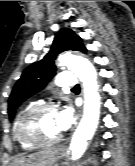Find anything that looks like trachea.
Wrapping results in <instances>:
<instances>
[{"instance_id":"obj_1","label":"trachea","mask_w":135,"mask_h":166,"mask_svg":"<svg viewBox=\"0 0 135 166\" xmlns=\"http://www.w3.org/2000/svg\"><path fill=\"white\" fill-rule=\"evenodd\" d=\"M80 87H79V85H76L73 89H79Z\"/></svg>"}]
</instances>
